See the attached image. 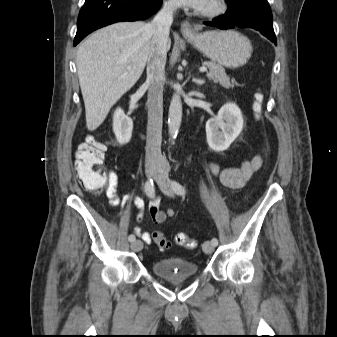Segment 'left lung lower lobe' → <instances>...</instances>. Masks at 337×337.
Segmentation results:
<instances>
[{
	"label": "left lung lower lobe",
	"mask_w": 337,
	"mask_h": 337,
	"mask_svg": "<svg viewBox=\"0 0 337 337\" xmlns=\"http://www.w3.org/2000/svg\"><path fill=\"white\" fill-rule=\"evenodd\" d=\"M205 25L219 29L252 28L266 36L275 45L276 36L273 29L272 12L267 0H241L228 6L227 12L213 19L212 22H204Z\"/></svg>",
	"instance_id": "left-lung-lower-lobe-1"
}]
</instances>
